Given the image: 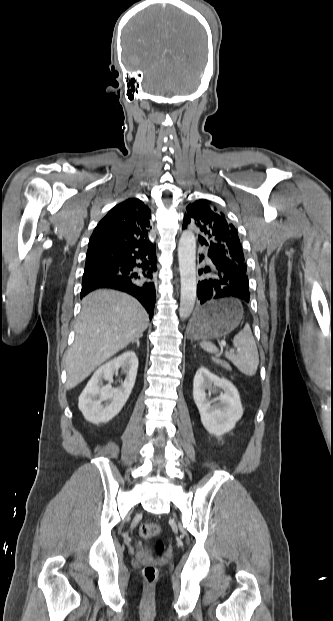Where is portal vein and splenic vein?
<instances>
[{
	"label": "portal vein and splenic vein",
	"mask_w": 333,
	"mask_h": 621,
	"mask_svg": "<svg viewBox=\"0 0 333 621\" xmlns=\"http://www.w3.org/2000/svg\"><path fill=\"white\" fill-rule=\"evenodd\" d=\"M221 346L225 347L226 346V342L225 341H221Z\"/></svg>",
	"instance_id": "obj_1"
}]
</instances>
